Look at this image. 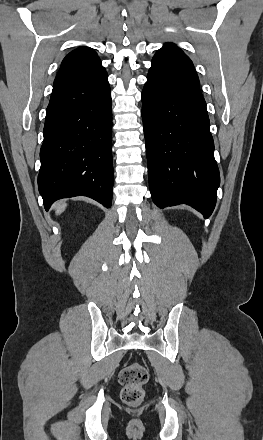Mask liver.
Instances as JSON below:
<instances>
[{"mask_svg": "<svg viewBox=\"0 0 263 440\" xmlns=\"http://www.w3.org/2000/svg\"><path fill=\"white\" fill-rule=\"evenodd\" d=\"M66 206H67L66 203H59L55 208L56 215L61 214L65 210Z\"/></svg>", "mask_w": 263, "mask_h": 440, "instance_id": "1", "label": "liver"}]
</instances>
